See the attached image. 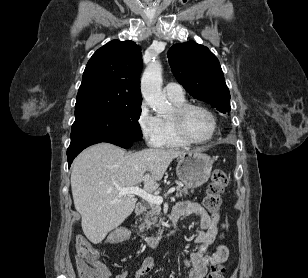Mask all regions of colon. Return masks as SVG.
<instances>
[{"mask_svg":"<svg viewBox=\"0 0 308 278\" xmlns=\"http://www.w3.org/2000/svg\"><path fill=\"white\" fill-rule=\"evenodd\" d=\"M228 182L229 176L224 170H214L204 198V206L210 212L216 213L219 211L221 197ZM129 236V226H116L114 232L110 235V239L113 242H126V237ZM76 255L80 278H98L101 265L99 249L80 235L76 238ZM224 273L225 267L217 263L211 267L207 278H224Z\"/></svg>","mask_w":308,"mask_h":278,"instance_id":"5ec220e1","label":"colon"}]
</instances>
